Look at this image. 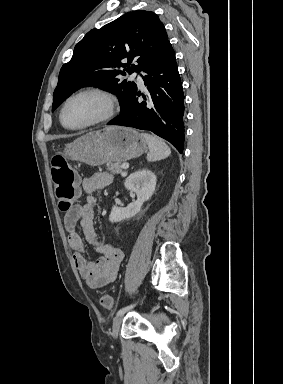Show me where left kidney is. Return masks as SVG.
<instances>
[{"label":"left kidney","instance_id":"obj_1","mask_svg":"<svg viewBox=\"0 0 283 384\" xmlns=\"http://www.w3.org/2000/svg\"><path fill=\"white\" fill-rule=\"evenodd\" d=\"M124 186L130 192H135L137 200L132 204H128L127 208L113 206L109 216L110 222H122V220H128V218L136 216L140 212L143 202L149 200L153 192H155L156 176L153 172L144 168V170L130 174L126 178Z\"/></svg>","mask_w":283,"mask_h":384}]
</instances>
